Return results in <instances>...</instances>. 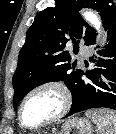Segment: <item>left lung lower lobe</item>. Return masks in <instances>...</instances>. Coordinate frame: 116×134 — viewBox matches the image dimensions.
<instances>
[{
  "mask_svg": "<svg viewBox=\"0 0 116 134\" xmlns=\"http://www.w3.org/2000/svg\"><path fill=\"white\" fill-rule=\"evenodd\" d=\"M108 31V44L97 51L102 56L93 71L81 72L72 96V105L67 116L93 108L116 110V7H113L103 21ZM96 43V35L89 45ZM86 75L91 82L85 83ZM66 116V117H67Z\"/></svg>",
  "mask_w": 116,
  "mask_h": 134,
  "instance_id": "left-lung-lower-lobe-1",
  "label": "left lung lower lobe"
}]
</instances>
